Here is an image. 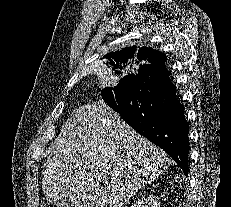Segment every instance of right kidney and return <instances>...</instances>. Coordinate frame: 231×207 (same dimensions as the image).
Wrapping results in <instances>:
<instances>
[{
    "mask_svg": "<svg viewBox=\"0 0 231 207\" xmlns=\"http://www.w3.org/2000/svg\"><path fill=\"white\" fill-rule=\"evenodd\" d=\"M131 207H158V202L151 195L142 196L137 199Z\"/></svg>",
    "mask_w": 231,
    "mask_h": 207,
    "instance_id": "obj_1",
    "label": "right kidney"
}]
</instances>
